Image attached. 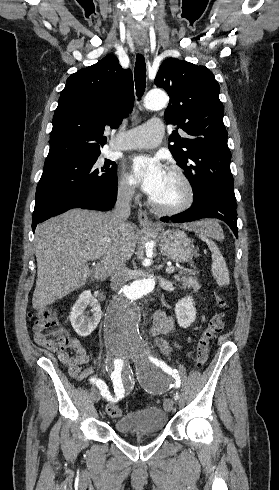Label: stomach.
<instances>
[{
  "label": "stomach",
  "instance_id": "stomach-1",
  "mask_svg": "<svg viewBox=\"0 0 279 490\" xmlns=\"http://www.w3.org/2000/svg\"><path fill=\"white\" fill-rule=\"evenodd\" d=\"M161 232L163 224H159ZM158 234V232H152ZM159 246L162 254L167 256L168 260L185 264L191 262L196 254L193 242L182 230H162L158 234Z\"/></svg>",
  "mask_w": 279,
  "mask_h": 490
}]
</instances>
